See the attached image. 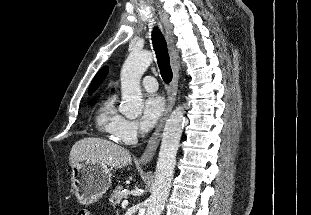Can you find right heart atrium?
<instances>
[{
  "instance_id": "right-heart-atrium-1",
  "label": "right heart atrium",
  "mask_w": 311,
  "mask_h": 215,
  "mask_svg": "<svg viewBox=\"0 0 311 215\" xmlns=\"http://www.w3.org/2000/svg\"><path fill=\"white\" fill-rule=\"evenodd\" d=\"M139 134L138 126L136 122L124 118L117 130H116V137L117 139L125 144H132L137 140Z\"/></svg>"
}]
</instances>
